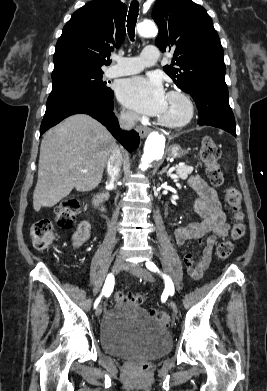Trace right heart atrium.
I'll use <instances>...</instances> for the list:
<instances>
[{
  "mask_svg": "<svg viewBox=\"0 0 267 391\" xmlns=\"http://www.w3.org/2000/svg\"><path fill=\"white\" fill-rule=\"evenodd\" d=\"M119 117H120L121 121H123L125 123H131L135 120L134 113H132L131 111L126 110V109H122L120 111Z\"/></svg>",
  "mask_w": 267,
  "mask_h": 391,
  "instance_id": "obj_1",
  "label": "right heart atrium"
}]
</instances>
